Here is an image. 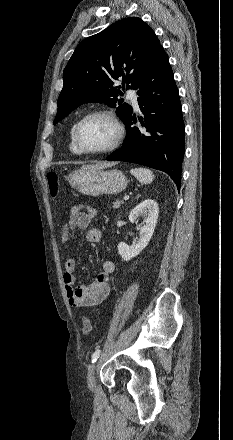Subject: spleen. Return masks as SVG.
Masks as SVG:
<instances>
[{
  "label": "spleen",
  "instance_id": "3e777b00",
  "mask_svg": "<svg viewBox=\"0 0 233 440\" xmlns=\"http://www.w3.org/2000/svg\"><path fill=\"white\" fill-rule=\"evenodd\" d=\"M131 175H133L140 183L149 184L154 179V174L151 170L143 167L134 168L130 170Z\"/></svg>",
  "mask_w": 233,
  "mask_h": 440
}]
</instances>
